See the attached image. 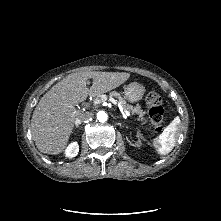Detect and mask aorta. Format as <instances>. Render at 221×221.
<instances>
[{
  "label": "aorta",
  "mask_w": 221,
  "mask_h": 221,
  "mask_svg": "<svg viewBox=\"0 0 221 221\" xmlns=\"http://www.w3.org/2000/svg\"><path fill=\"white\" fill-rule=\"evenodd\" d=\"M97 119L100 121V122H106L107 119H108V115L106 112L104 111H99L97 113Z\"/></svg>",
  "instance_id": "aorta-1"
}]
</instances>
